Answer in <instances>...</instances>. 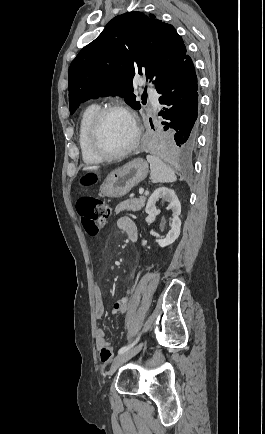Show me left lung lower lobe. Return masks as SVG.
<instances>
[{
    "label": "left lung lower lobe",
    "instance_id": "left-lung-lower-lobe-1",
    "mask_svg": "<svg viewBox=\"0 0 265 434\" xmlns=\"http://www.w3.org/2000/svg\"><path fill=\"white\" fill-rule=\"evenodd\" d=\"M198 84L195 67L189 55L176 69L160 92L163 105L158 115L164 119V130H169L167 140L158 139L149 147L158 154H188L197 144L199 123Z\"/></svg>",
    "mask_w": 265,
    "mask_h": 434
}]
</instances>
